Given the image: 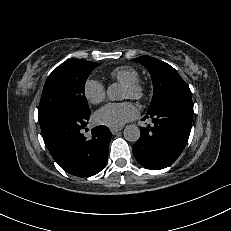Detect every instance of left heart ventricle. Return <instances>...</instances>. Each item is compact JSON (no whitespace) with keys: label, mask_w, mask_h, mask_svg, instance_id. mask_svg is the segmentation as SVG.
<instances>
[{"label":"left heart ventricle","mask_w":231,"mask_h":231,"mask_svg":"<svg viewBox=\"0 0 231 231\" xmlns=\"http://www.w3.org/2000/svg\"><path fill=\"white\" fill-rule=\"evenodd\" d=\"M131 96V93L130 91L128 90V88H124V92H123V98L127 99V98H130Z\"/></svg>","instance_id":"left-heart-ventricle-1"}]
</instances>
